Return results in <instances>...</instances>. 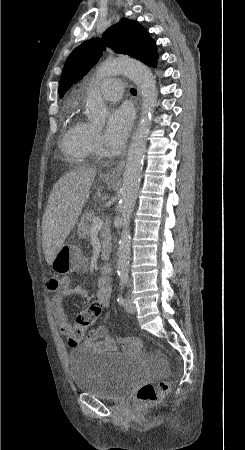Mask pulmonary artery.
I'll use <instances>...</instances> for the list:
<instances>
[{"label":"pulmonary artery","instance_id":"e3ab8cb5","mask_svg":"<svg viewBox=\"0 0 245 450\" xmlns=\"http://www.w3.org/2000/svg\"><path fill=\"white\" fill-rule=\"evenodd\" d=\"M123 88V83L118 78H108L103 80L98 91L105 100L117 101L121 97V92Z\"/></svg>","mask_w":245,"mask_h":450}]
</instances>
